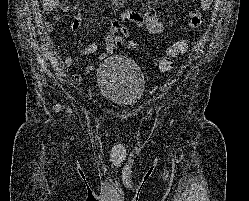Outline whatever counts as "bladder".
Wrapping results in <instances>:
<instances>
[{"mask_svg": "<svg viewBox=\"0 0 249 201\" xmlns=\"http://www.w3.org/2000/svg\"><path fill=\"white\" fill-rule=\"evenodd\" d=\"M96 76L104 99L115 106L133 107L143 95L144 78L141 69L127 57L105 58L99 64Z\"/></svg>", "mask_w": 249, "mask_h": 201, "instance_id": "bladder-1", "label": "bladder"}]
</instances>
